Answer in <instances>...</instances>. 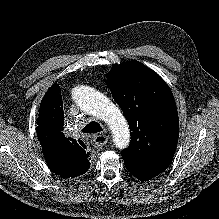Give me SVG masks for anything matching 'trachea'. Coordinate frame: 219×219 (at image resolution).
<instances>
[{"label":"trachea","instance_id":"1","mask_svg":"<svg viewBox=\"0 0 219 219\" xmlns=\"http://www.w3.org/2000/svg\"><path fill=\"white\" fill-rule=\"evenodd\" d=\"M103 131V128L95 121L89 122L83 129L82 132L94 134V133H100Z\"/></svg>","mask_w":219,"mask_h":219}]
</instances>
